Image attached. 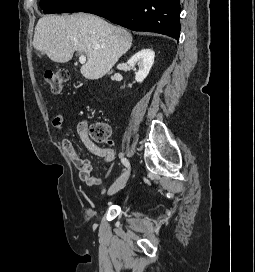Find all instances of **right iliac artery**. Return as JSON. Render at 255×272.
Instances as JSON below:
<instances>
[{
  "label": "right iliac artery",
  "mask_w": 255,
  "mask_h": 272,
  "mask_svg": "<svg viewBox=\"0 0 255 272\" xmlns=\"http://www.w3.org/2000/svg\"><path fill=\"white\" fill-rule=\"evenodd\" d=\"M121 162L125 167H127L128 169L130 168V163H129L128 159L123 157V158H121Z\"/></svg>",
  "instance_id": "1"
}]
</instances>
